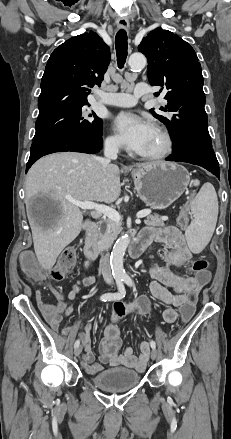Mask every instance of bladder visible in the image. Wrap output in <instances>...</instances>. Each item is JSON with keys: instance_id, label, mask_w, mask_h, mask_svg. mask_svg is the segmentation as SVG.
Returning <instances> with one entry per match:
<instances>
[{"instance_id": "obj_1", "label": "bladder", "mask_w": 231, "mask_h": 439, "mask_svg": "<svg viewBox=\"0 0 231 439\" xmlns=\"http://www.w3.org/2000/svg\"><path fill=\"white\" fill-rule=\"evenodd\" d=\"M90 380L99 389L120 391L137 386L140 382V375L126 368H112L97 373Z\"/></svg>"}]
</instances>
